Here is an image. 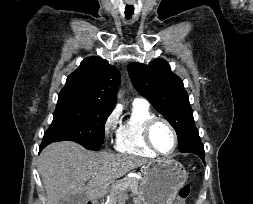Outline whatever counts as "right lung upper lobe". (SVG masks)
Here are the masks:
<instances>
[{
  "instance_id": "right-lung-upper-lobe-1",
  "label": "right lung upper lobe",
  "mask_w": 253,
  "mask_h": 204,
  "mask_svg": "<svg viewBox=\"0 0 253 204\" xmlns=\"http://www.w3.org/2000/svg\"><path fill=\"white\" fill-rule=\"evenodd\" d=\"M119 83V71L106 60L93 56L84 59L67 77L61 92L75 94L113 110Z\"/></svg>"
}]
</instances>
